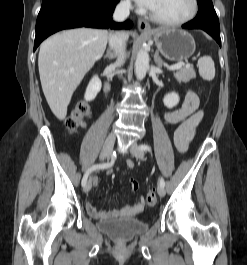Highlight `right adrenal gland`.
<instances>
[{"mask_svg": "<svg viewBox=\"0 0 247 265\" xmlns=\"http://www.w3.org/2000/svg\"><path fill=\"white\" fill-rule=\"evenodd\" d=\"M116 57L115 52H112L111 49H109L106 53V55H104V59L108 58L109 60H113Z\"/></svg>", "mask_w": 247, "mask_h": 265, "instance_id": "2a0ac1e0", "label": "right adrenal gland"}]
</instances>
